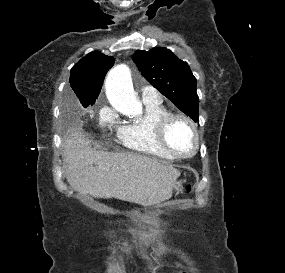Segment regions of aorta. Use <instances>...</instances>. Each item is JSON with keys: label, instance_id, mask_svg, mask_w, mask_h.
Returning a JSON list of instances; mask_svg holds the SVG:
<instances>
[{"label": "aorta", "instance_id": "1", "mask_svg": "<svg viewBox=\"0 0 285 273\" xmlns=\"http://www.w3.org/2000/svg\"><path fill=\"white\" fill-rule=\"evenodd\" d=\"M105 91L112 107L120 113L128 116L142 114V103L134 92L131 72L127 65L120 64L109 71Z\"/></svg>", "mask_w": 285, "mask_h": 273}]
</instances>
